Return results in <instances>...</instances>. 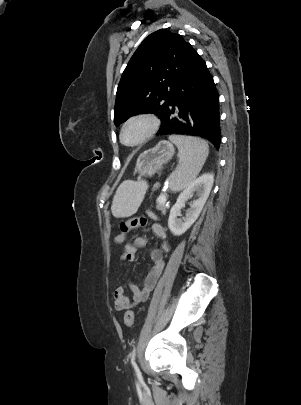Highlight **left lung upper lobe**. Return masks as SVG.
Returning a JSON list of instances; mask_svg holds the SVG:
<instances>
[{
    "instance_id": "1",
    "label": "left lung upper lobe",
    "mask_w": 301,
    "mask_h": 405,
    "mask_svg": "<svg viewBox=\"0 0 301 405\" xmlns=\"http://www.w3.org/2000/svg\"><path fill=\"white\" fill-rule=\"evenodd\" d=\"M194 48L179 34L160 29L139 45L118 85L114 123L139 113H154L163 125Z\"/></svg>"
}]
</instances>
